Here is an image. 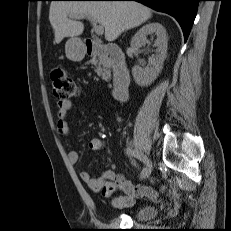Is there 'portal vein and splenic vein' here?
I'll return each mask as SVG.
<instances>
[{"mask_svg":"<svg viewBox=\"0 0 231 231\" xmlns=\"http://www.w3.org/2000/svg\"><path fill=\"white\" fill-rule=\"evenodd\" d=\"M73 18L75 19H79V18H86V15L84 14H79V15H75ZM87 19L91 22L93 29L95 31V33L97 35H102L104 32V28L101 25H97V22L95 21V19H93L92 17H87Z\"/></svg>","mask_w":231,"mask_h":231,"instance_id":"obj_1","label":"portal vein and splenic vein"}]
</instances>
